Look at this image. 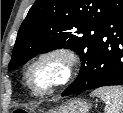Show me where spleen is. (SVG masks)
I'll return each mask as SVG.
<instances>
[{"mask_svg": "<svg viewBox=\"0 0 123 113\" xmlns=\"http://www.w3.org/2000/svg\"><path fill=\"white\" fill-rule=\"evenodd\" d=\"M91 96L98 97L106 103L105 113L123 112V87H102L94 90Z\"/></svg>", "mask_w": 123, "mask_h": 113, "instance_id": "spleen-1", "label": "spleen"}]
</instances>
